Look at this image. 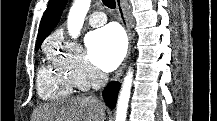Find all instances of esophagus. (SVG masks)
I'll use <instances>...</instances> for the list:
<instances>
[{"label":"esophagus","instance_id":"obj_1","mask_svg":"<svg viewBox=\"0 0 217 121\" xmlns=\"http://www.w3.org/2000/svg\"><path fill=\"white\" fill-rule=\"evenodd\" d=\"M116 9H117V14L119 17V20L122 24V26L124 27L127 37H128V51H127V55L123 61V63L120 65V67L118 68V70L115 72L114 76H113V80L116 81L118 80L124 73V70L126 68L127 65V60L129 58L130 52H131V40H132V35H131V31H130V26L127 20V16L123 7V2L122 0H116Z\"/></svg>","mask_w":217,"mask_h":121}]
</instances>
